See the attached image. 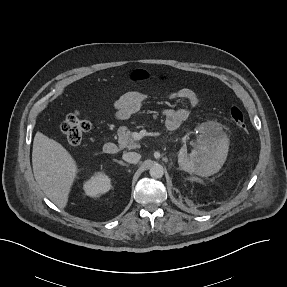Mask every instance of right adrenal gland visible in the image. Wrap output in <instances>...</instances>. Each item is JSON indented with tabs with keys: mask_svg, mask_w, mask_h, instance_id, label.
<instances>
[{
	"mask_svg": "<svg viewBox=\"0 0 287 287\" xmlns=\"http://www.w3.org/2000/svg\"><path fill=\"white\" fill-rule=\"evenodd\" d=\"M122 166H127L125 163L123 162H119Z\"/></svg>",
	"mask_w": 287,
	"mask_h": 287,
	"instance_id": "1",
	"label": "right adrenal gland"
}]
</instances>
